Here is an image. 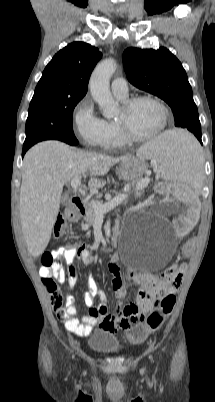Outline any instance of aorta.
Instances as JSON below:
<instances>
[{
    "instance_id": "aorta-1",
    "label": "aorta",
    "mask_w": 215,
    "mask_h": 402,
    "mask_svg": "<svg viewBox=\"0 0 215 402\" xmlns=\"http://www.w3.org/2000/svg\"><path fill=\"white\" fill-rule=\"evenodd\" d=\"M116 68L117 64L114 59H105L95 67L89 81L91 95L106 118L114 117L118 111V105L109 88L110 78Z\"/></svg>"
}]
</instances>
